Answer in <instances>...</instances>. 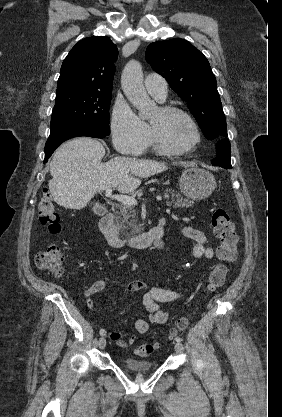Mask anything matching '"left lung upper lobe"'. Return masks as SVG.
<instances>
[{
  "mask_svg": "<svg viewBox=\"0 0 282 417\" xmlns=\"http://www.w3.org/2000/svg\"><path fill=\"white\" fill-rule=\"evenodd\" d=\"M146 60L187 102L206 138L227 136L216 78L199 50L184 39L158 41L147 47Z\"/></svg>",
  "mask_w": 282,
  "mask_h": 417,
  "instance_id": "5c2ea615",
  "label": "left lung upper lobe"
}]
</instances>
